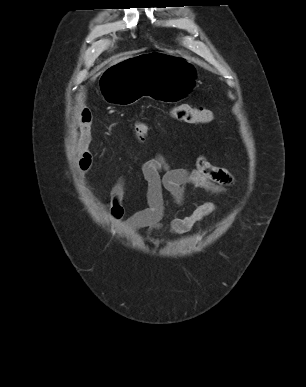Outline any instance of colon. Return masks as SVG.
<instances>
[{
  "label": "colon",
  "instance_id": "colon-1",
  "mask_svg": "<svg viewBox=\"0 0 306 387\" xmlns=\"http://www.w3.org/2000/svg\"><path fill=\"white\" fill-rule=\"evenodd\" d=\"M172 116L179 121L191 124H208L213 120V113L205 107L179 105L172 109ZM149 131L148 123L141 117L137 118L134 126V135L138 142H145Z\"/></svg>",
  "mask_w": 306,
  "mask_h": 387
}]
</instances>
